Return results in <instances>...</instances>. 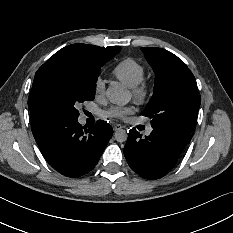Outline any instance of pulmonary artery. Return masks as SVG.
Wrapping results in <instances>:
<instances>
[{
	"instance_id": "1",
	"label": "pulmonary artery",
	"mask_w": 233,
	"mask_h": 233,
	"mask_svg": "<svg viewBox=\"0 0 233 233\" xmlns=\"http://www.w3.org/2000/svg\"><path fill=\"white\" fill-rule=\"evenodd\" d=\"M151 132H152V129H148V130L146 131V134H147V135H150Z\"/></svg>"
}]
</instances>
